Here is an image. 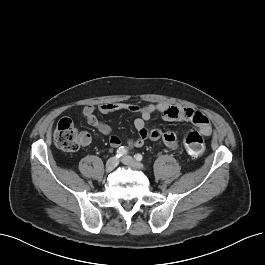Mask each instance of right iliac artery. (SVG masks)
<instances>
[{
    "instance_id": "obj_1",
    "label": "right iliac artery",
    "mask_w": 265,
    "mask_h": 265,
    "mask_svg": "<svg viewBox=\"0 0 265 265\" xmlns=\"http://www.w3.org/2000/svg\"><path fill=\"white\" fill-rule=\"evenodd\" d=\"M128 153V150L124 147V146H121L117 149L116 151V157H121V156H124Z\"/></svg>"
}]
</instances>
